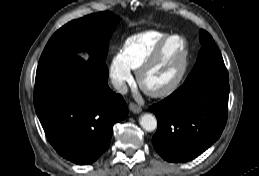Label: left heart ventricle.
<instances>
[{"label": "left heart ventricle", "mask_w": 259, "mask_h": 176, "mask_svg": "<svg viewBox=\"0 0 259 176\" xmlns=\"http://www.w3.org/2000/svg\"><path fill=\"white\" fill-rule=\"evenodd\" d=\"M182 54V42L170 40L159 60L146 73L144 82L149 88H159L169 83L176 75Z\"/></svg>", "instance_id": "1"}]
</instances>
